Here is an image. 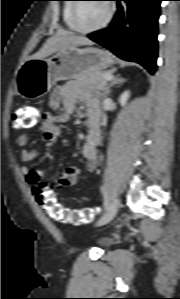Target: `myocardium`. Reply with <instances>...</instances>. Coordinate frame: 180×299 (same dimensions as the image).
Masks as SVG:
<instances>
[{
  "label": "myocardium",
  "mask_w": 180,
  "mask_h": 299,
  "mask_svg": "<svg viewBox=\"0 0 180 299\" xmlns=\"http://www.w3.org/2000/svg\"><path fill=\"white\" fill-rule=\"evenodd\" d=\"M75 1L76 2L73 3L72 9H71V22H72L74 29L81 34L94 33V32L104 29L105 27L108 26V24L111 22V20L114 16L115 7L110 0H106L107 14H106L104 20L99 25H97L95 27L82 28L77 23V11H78L79 5L81 3L79 2L80 0H75Z\"/></svg>",
  "instance_id": "myocardium-1"
}]
</instances>
